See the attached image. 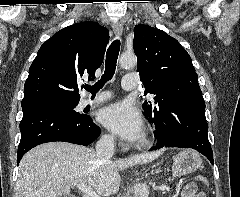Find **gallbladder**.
Returning <instances> with one entry per match:
<instances>
[{
	"label": "gallbladder",
	"instance_id": "gallbladder-1",
	"mask_svg": "<svg viewBox=\"0 0 240 197\" xmlns=\"http://www.w3.org/2000/svg\"><path fill=\"white\" fill-rule=\"evenodd\" d=\"M63 197H72L71 195H64Z\"/></svg>",
	"mask_w": 240,
	"mask_h": 197
}]
</instances>
